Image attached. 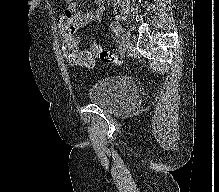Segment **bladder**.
<instances>
[{
  "instance_id": "obj_1",
  "label": "bladder",
  "mask_w": 219,
  "mask_h": 192,
  "mask_svg": "<svg viewBox=\"0 0 219 192\" xmlns=\"http://www.w3.org/2000/svg\"><path fill=\"white\" fill-rule=\"evenodd\" d=\"M137 95L136 84L124 77L96 81L86 90L88 101L111 114L128 110L135 102Z\"/></svg>"
}]
</instances>
